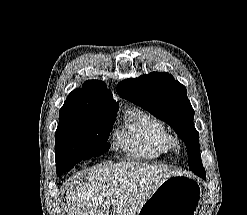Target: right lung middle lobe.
Returning a JSON list of instances; mask_svg holds the SVG:
<instances>
[{
  "instance_id": "dd1d6c3e",
  "label": "right lung middle lobe",
  "mask_w": 247,
  "mask_h": 215,
  "mask_svg": "<svg viewBox=\"0 0 247 215\" xmlns=\"http://www.w3.org/2000/svg\"><path fill=\"white\" fill-rule=\"evenodd\" d=\"M116 111L89 107L68 96L55 133L57 174L71 172L81 161L109 150L107 142Z\"/></svg>"
}]
</instances>
